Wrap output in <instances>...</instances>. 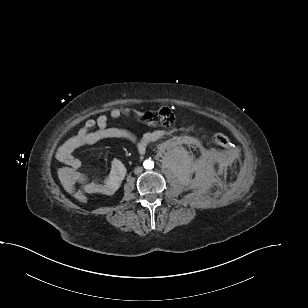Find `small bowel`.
Here are the masks:
<instances>
[{"label":"small bowel","instance_id":"c3829d8e","mask_svg":"<svg viewBox=\"0 0 308 308\" xmlns=\"http://www.w3.org/2000/svg\"><path fill=\"white\" fill-rule=\"evenodd\" d=\"M130 113L129 108H114L109 112V116L117 119ZM108 121L109 117L104 114L99 115L96 119H88L74 136L67 139L58 148L56 157L59 162L68 167V187L70 190L73 191L78 186L79 189L89 195H112L119 188L126 173L124 164L115 159L112 161L110 172L104 181H89L81 172V161L74 156L76 149L85 145L96 144L104 139H124L136 144L142 150L163 135L162 131H153L138 138L126 129L110 127Z\"/></svg>","mask_w":308,"mask_h":308}]
</instances>
